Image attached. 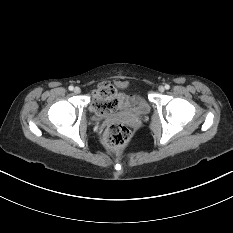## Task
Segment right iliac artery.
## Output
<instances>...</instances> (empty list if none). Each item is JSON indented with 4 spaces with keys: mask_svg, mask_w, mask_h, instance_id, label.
I'll list each match as a JSON object with an SVG mask.
<instances>
[{
    "mask_svg": "<svg viewBox=\"0 0 233 233\" xmlns=\"http://www.w3.org/2000/svg\"><path fill=\"white\" fill-rule=\"evenodd\" d=\"M70 91H72L73 89H74V87L71 85V86H69V88H68Z\"/></svg>",
    "mask_w": 233,
    "mask_h": 233,
    "instance_id": "obj_1",
    "label": "right iliac artery"
}]
</instances>
